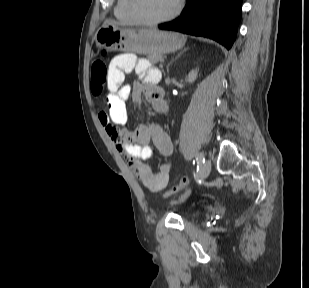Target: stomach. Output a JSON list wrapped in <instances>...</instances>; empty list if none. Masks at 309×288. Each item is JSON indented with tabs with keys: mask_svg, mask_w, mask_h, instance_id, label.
Returning a JSON list of instances; mask_svg holds the SVG:
<instances>
[{
	"mask_svg": "<svg viewBox=\"0 0 309 288\" xmlns=\"http://www.w3.org/2000/svg\"><path fill=\"white\" fill-rule=\"evenodd\" d=\"M95 42L100 50L131 52L150 57L180 49L186 37L176 32L129 29L105 23L97 30Z\"/></svg>",
	"mask_w": 309,
	"mask_h": 288,
	"instance_id": "1",
	"label": "stomach"
}]
</instances>
